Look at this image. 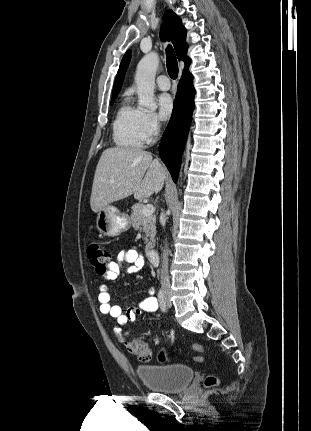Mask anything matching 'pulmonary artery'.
I'll return each instance as SVG.
<instances>
[{
	"mask_svg": "<svg viewBox=\"0 0 311 431\" xmlns=\"http://www.w3.org/2000/svg\"><path fill=\"white\" fill-rule=\"evenodd\" d=\"M157 85L162 91H167L171 88V82L166 75H160L157 77Z\"/></svg>",
	"mask_w": 311,
	"mask_h": 431,
	"instance_id": "e3ab8cb5",
	"label": "pulmonary artery"
}]
</instances>
